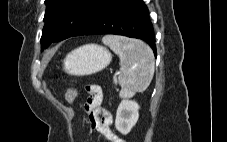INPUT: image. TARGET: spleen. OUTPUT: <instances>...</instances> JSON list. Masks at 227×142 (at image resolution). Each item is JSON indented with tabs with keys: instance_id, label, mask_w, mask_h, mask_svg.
I'll use <instances>...</instances> for the list:
<instances>
[{
	"instance_id": "1",
	"label": "spleen",
	"mask_w": 227,
	"mask_h": 142,
	"mask_svg": "<svg viewBox=\"0 0 227 142\" xmlns=\"http://www.w3.org/2000/svg\"><path fill=\"white\" fill-rule=\"evenodd\" d=\"M102 41L120 58L119 96L129 98L136 92L146 90L151 83L155 68L151 48L140 40L117 35L104 36Z\"/></svg>"
}]
</instances>
